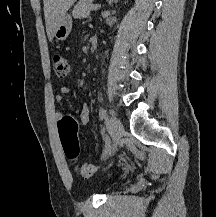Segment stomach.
<instances>
[{
	"instance_id": "1",
	"label": "stomach",
	"mask_w": 216,
	"mask_h": 217,
	"mask_svg": "<svg viewBox=\"0 0 216 217\" xmlns=\"http://www.w3.org/2000/svg\"><path fill=\"white\" fill-rule=\"evenodd\" d=\"M72 29V19L69 15H65L60 21L57 29L54 32V37L57 40H65L70 34Z\"/></svg>"
}]
</instances>
